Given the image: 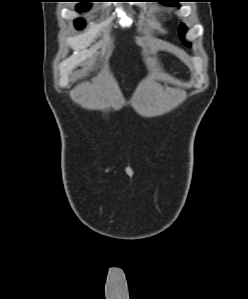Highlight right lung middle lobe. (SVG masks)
I'll return each instance as SVG.
<instances>
[{"mask_svg": "<svg viewBox=\"0 0 248 299\" xmlns=\"http://www.w3.org/2000/svg\"><path fill=\"white\" fill-rule=\"evenodd\" d=\"M87 1H92V0L82 1L80 4L77 5L76 9L78 11H85V10H87L90 7V4H87ZM75 26L78 29H82L85 26L84 21L82 19H76L75 20Z\"/></svg>", "mask_w": 248, "mask_h": 299, "instance_id": "dd1d6c3e", "label": "right lung middle lobe"}]
</instances>
